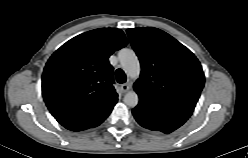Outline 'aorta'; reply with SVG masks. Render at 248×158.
Here are the masks:
<instances>
[{"mask_svg": "<svg viewBox=\"0 0 248 158\" xmlns=\"http://www.w3.org/2000/svg\"><path fill=\"white\" fill-rule=\"evenodd\" d=\"M118 57L125 73L136 79L140 75L141 67L135 52L132 49L123 48L119 51ZM139 102L138 94L135 91H129L124 96V103L127 106L135 107Z\"/></svg>", "mask_w": 248, "mask_h": 158, "instance_id": "obj_1", "label": "aorta"}]
</instances>
